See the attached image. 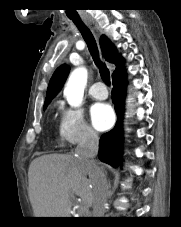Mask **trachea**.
I'll return each mask as SVG.
<instances>
[{"instance_id": "obj_1", "label": "trachea", "mask_w": 181, "mask_h": 227, "mask_svg": "<svg viewBox=\"0 0 181 227\" xmlns=\"http://www.w3.org/2000/svg\"><path fill=\"white\" fill-rule=\"evenodd\" d=\"M73 23L76 25L78 30L80 31L83 39L85 40L88 49L94 59L95 64L99 67L100 75L102 80L107 84L110 85V72L105 66L104 63L99 58V52L97 48V44L93 34L91 33L90 29L82 22L81 19L79 20H72Z\"/></svg>"}]
</instances>
